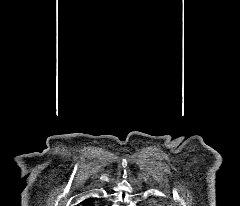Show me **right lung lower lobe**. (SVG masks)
<instances>
[{
    "label": "right lung lower lobe",
    "instance_id": "1",
    "mask_svg": "<svg viewBox=\"0 0 240 206\" xmlns=\"http://www.w3.org/2000/svg\"><path fill=\"white\" fill-rule=\"evenodd\" d=\"M93 201L94 199L93 198H89V199H86L83 203H84V206H94L93 205Z\"/></svg>",
    "mask_w": 240,
    "mask_h": 206
}]
</instances>
